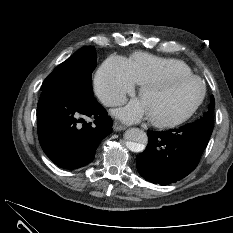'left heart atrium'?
Segmentation results:
<instances>
[{
    "label": "left heart atrium",
    "mask_w": 233,
    "mask_h": 233,
    "mask_svg": "<svg viewBox=\"0 0 233 233\" xmlns=\"http://www.w3.org/2000/svg\"><path fill=\"white\" fill-rule=\"evenodd\" d=\"M112 115L126 123H136L147 116V113L142 101L135 99L125 107L113 110Z\"/></svg>",
    "instance_id": "1"
}]
</instances>
